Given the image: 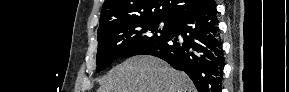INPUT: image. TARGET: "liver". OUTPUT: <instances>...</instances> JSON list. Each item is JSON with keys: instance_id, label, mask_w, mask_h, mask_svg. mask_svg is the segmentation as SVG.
Returning a JSON list of instances; mask_svg holds the SVG:
<instances>
[{"instance_id": "1", "label": "liver", "mask_w": 289, "mask_h": 92, "mask_svg": "<svg viewBox=\"0 0 289 92\" xmlns=\"http://www.w3.org/2000/svg\"><path fill=\"white\" fill-rule=\"evenodd\" d=\"M189 77L165 61L139 55L108 72L98 92H195Z\"/></svg>"}]
</instances>
